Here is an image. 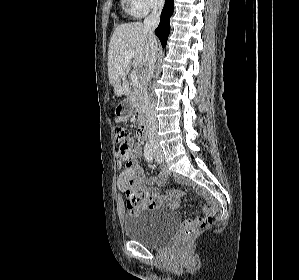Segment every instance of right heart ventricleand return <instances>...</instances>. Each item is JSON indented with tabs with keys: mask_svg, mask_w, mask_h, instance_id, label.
<instances>
[{
	"mask_svg": "<svg viewBox=\"0 0 299 280\" xmlns=\"http://www.w3.org/2000/svg\"><path fill=\"white\" fill-rule=\"evenodd\" d=\"M125 10L131 15H139L131 0H122Z\"/></svg>",
	"mask_w": 299,
	"mask_h": 280,
	"instance_id": "right-heart-ventricle-1",
	"label": "right heart ventricle"
}]
</instances>
